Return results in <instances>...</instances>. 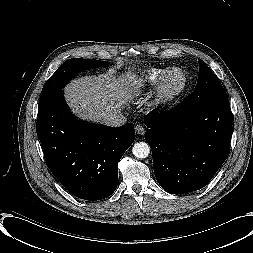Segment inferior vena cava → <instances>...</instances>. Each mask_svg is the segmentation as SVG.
<instances>
[{"mask_svg": "<svg viewBox=\"0 0 253 253\" xmlns=\"http://www.w3.org/2000/svg\"><path fill=\"white\" fill-rule=\"evenodd\" d=\"M126 121L127 118L123 114L114 113L105 120V124L112 127H119L125 124Z\"/></svg>", "mask_w": 253, "mask_h": 253, "instance_id": "obj_1", "label": "inferior vena cava"}]
</instances>
